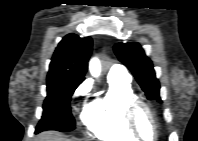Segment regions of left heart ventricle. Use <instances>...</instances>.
I'll list each match as a JSON object with an SVG mask.
<instances>
[{"label":"left heart ventricle","mask_w":198,"mask_h":141,"mask_svg":"<svg viewBox=\"0 0 198 141\" xmlns=\"http://www.w3.org/2000/svg\"><path fill=\"white\" fill-rule=\"evenodd\" d=\"M137 124L144 138H153L155 133L154 124L152 123V120L148 113L143 109L139 110L138 112Z\"/></svg>","instance_id":"obj_1"}]
</instances>
